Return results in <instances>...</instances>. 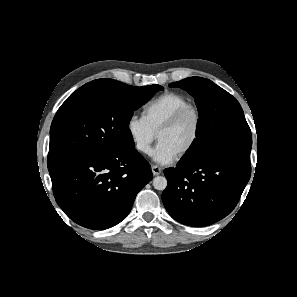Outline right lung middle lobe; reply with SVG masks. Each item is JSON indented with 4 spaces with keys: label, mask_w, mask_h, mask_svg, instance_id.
<instances>
[{
    "label": "right lung middle lobe",
    "mask_w": 297,
    "mask_h": 297,
    "mask_svg": "<svg viewBox=\"0 0 297 297\" xmlns=\"http://www.w3.org/2000/svg\"><path fill=\"white\" fill-rule=\"evenodd\" d=\"M100 81L95 89L73 93L58 109L50 128L48 169L78 154L133 148L128 127L133 111L164 89Z\"/></svg>",
    "instance_id": "1"
}]
</instances>
